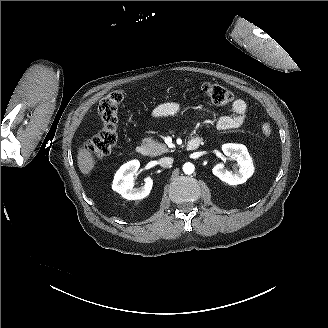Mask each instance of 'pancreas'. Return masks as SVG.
<instances>
[{
    "label": "pancreas",
    "instance_id": "obj_1",
    "mask_svg": "<svg viewBox=\"0 0 328 328\" xmlns=\"http://www.w3.org/2000/svg\"><path fill=\"white\" fill-rule=\"evenodd\" d=\"M141 144L146 146L147 154L150 157H156L169 151V148H167L164 144H161L159 141L150 137L144 138Z\"/></svg>",
    "mask_w": 328,
    "mask_h": 328
}]
</instances>
